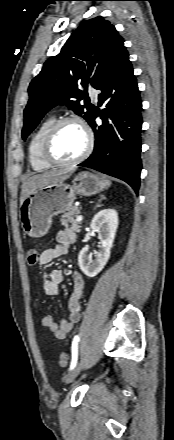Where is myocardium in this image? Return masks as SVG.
<instances>
[{
	"label": "myocardium",
	"mask_w": 174,
	"mask_h": 440,
	"mask_svg": "<svg viewBox=\"0 0 174 440\" xmlns=\"http://www.w3.org/2000/svg\"><path fill=\"white\" fill-rule=\"evenodd\" d=\"M67 123H76L80 125V127L83 129L86 135V146L82 151V153L75 159L68 161H61L54 157L52 152V145L59 129ZM93 147H94V135L88 124L82 118L75 115H71L56 120L55 123L48 130L43 141L42 156L44 160L52 166L66 167V166L78 164L83 160H85L92 152Z\"/></svg>",
	"instance_id": "obj_1"
}]
</instances>
